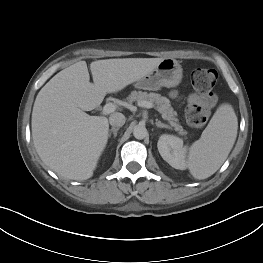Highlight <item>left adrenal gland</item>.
<instances>
[{
  "label": "left adrenal gland",
  "instance_id": "obj_1",
  "mask_svg": "<svg viewBox=\"0 0 263 263\" xmlns=\"http://www.w3.org/2000/svg\"><path fill=\"white\" fill-rule=\"evenodd\" d=\"M155 124H156V126H157L158 128H168V129H170V126L162 123L161 121L156 120V123H155Z\"/></svg>",
  "mask_w": 263,
  "mask_h": 263
}]
</instances>
